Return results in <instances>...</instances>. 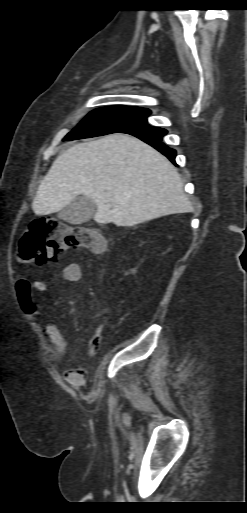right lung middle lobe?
<instances>
[{
  "label": "right lung middle lobe",
  "mask_w": 247,
  "mask_h": 513,
  "mask_svg": "<svg viewBox=\"0 0 247 513\" xmlns=\"http://www.w3.org/2000/svg\"><path fill=\"white\" fill-rule=\"evenodd\" d=\"M150 110L140 107L110 106L95 109L63 140L90 138L121 130L136 124L147 122Z\"/></svg>",
  "instance_id": "right-lung-middle-lobe-1"
}]
</instances>
